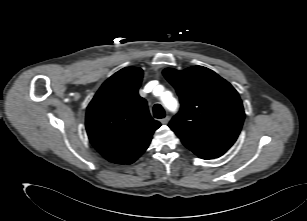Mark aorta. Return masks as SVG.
<instances>
[{
    "instance_id": "obj_1",
    "label": "aorta",
    "mask_w": 307,
    "mask_h": 221,
    "mask_svg": "<svg viewBox=\"0 0 307 221\" xmlns=\"http://www.w3.org/2000/svg\"><path fill=\"white\" fill-rule=\"evenodd\" d=\"M162 101L165 104V106L169 109H172L171 104L176 102L173 97H163Z\"/></svg>"
}]
</instances>
